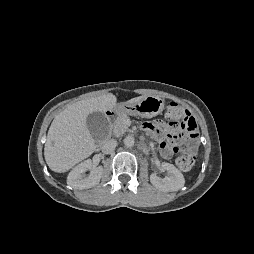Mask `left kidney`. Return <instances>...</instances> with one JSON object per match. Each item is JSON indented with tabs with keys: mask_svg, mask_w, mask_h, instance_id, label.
Instances as JSON below:
<instances>
[{
	"mask_svg": "<svg viewBox=\"0 0 254 254\" xmlns=\"http://www.w3.org/2000/svg\"><path fill=\"white\" fill-rule=\"evenodd\" d=\"M161 170L167 172L165 178L158 177L155 173L150 175V181L153 186L163 191H177L185 184L182 173L173 165L163 162Z\"/></svg>",
	"mask_w": 254,
	"mask_h": 254,
	"instance_id": "obj_1",
	"label": "left kidney"
}]
</instances>
